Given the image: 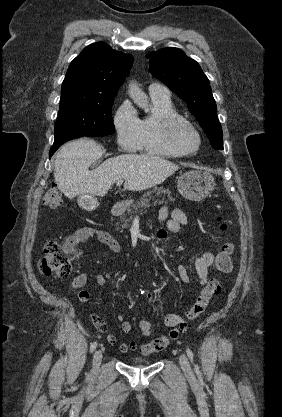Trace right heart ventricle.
<instances>
[{
  "mask_svg": "<svg viewBox=\"0 0 282 417\" xmlns=\"http://www.w3.org/2000/svg\"><path fill=\"white\" fill-rule=\"evenodd\" d=\"M152 111L143 117H138L141 133V148L158 155L176 156L165 142L164 137L158 130L159 118L163 114H177L170 99L152 97Z\"/></svg>",
  "mask_w": 282,
  "mask_h": 417,
  "instance_id": "1",
  "label": "right heart ventricle"
}]
</instances>
